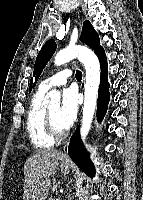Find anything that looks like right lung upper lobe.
<instances>
[{
  "label": "right lung upper lobe",
  "instance_id": "cb5924a9",
  "mask_svg": "<svg viewBox=\"0 0 143 200\" xmlns=\"http://www.w3.org/2000/svg\"><path fill=\"white\" fill-rule=\"evenodd\" d=\"M32 81H33V80L31 79V81H30V91H31V85H32Z\"/></svg>",
  "mask_w": 143,
  "mask_h": 200
}]
</instances>
